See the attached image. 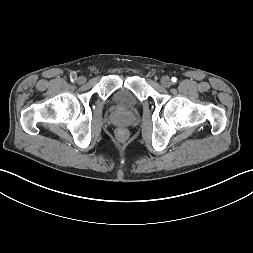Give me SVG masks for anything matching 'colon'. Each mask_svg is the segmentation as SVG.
Wrapping results in <instances>:
<instances>
[{
  "instance_id": "5ec220e1",
  "label": "colon",
  "mask_w": 253,
  "mask_h": 253,
  "mask_svg": "<svg viewBox=\"0 0 253 253\" xmlns=\"http://www.w3.org/2000/svg\"><path fill=\"white\" fill-rule=\"evenodd\" d=\"M118 135H119L120 137L124 138V137H126L127 133H126V131H125L124 129H120V130L118 131Z\"/></svg>"
}]
</instances>
